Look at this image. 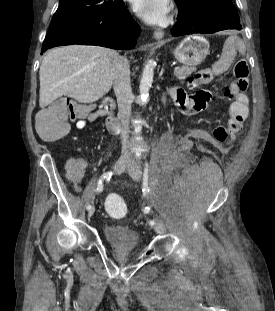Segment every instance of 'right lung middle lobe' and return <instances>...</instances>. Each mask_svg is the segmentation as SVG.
<instances>
[{
	"instance_id": "obj_1",
	"label": "right lung middle lobe",
	"mask_w": 275,
	"mask_h": 311,
	"mask_svg": "<svg viewBox=\"0 0 275 311\" xmlns=\"http://www.w3.org/2000/svg\"><path fill=\"white\" fill-rule=\"evenodd\" d=\"M122 4L120 0H60L50 27L64 21L110 12Z\"/></svg>"
}]
</instances>
